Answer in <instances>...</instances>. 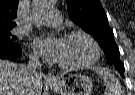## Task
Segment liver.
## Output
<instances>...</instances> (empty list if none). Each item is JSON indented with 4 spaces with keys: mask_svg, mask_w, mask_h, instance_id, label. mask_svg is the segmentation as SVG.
Masks as SVG:
<instances>
[{
    "mask_svg": "<svg viewBox=\"0 0 135 95\" xmlns=\"http://www.w3.org/2000/svg\"><path fill=\"white\" fill-rule=\"evenodd\" d=\"M42 76L30 79L25 66L0 60V95H41Z\"/></svg>",
    "mask_w": 135,
    "mask_h": 95,
    "instance_id": "1",
    "label": "liver"
}]
</instances>
